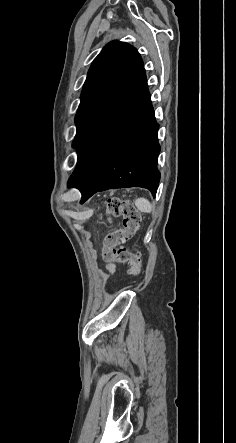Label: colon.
I'll use <instances>...</instances> for the list:
<instances>
[{"instance_id": "obj_1", "label": "colon", "mask_w": 236, "mask_h": 443, "mask_svg": "<svg viewBox=\"0 0 236 443\" xmlns=\"http://www.w3.org/2000/svg\"><path fill=\"white\" fill-rule=\"evenodd\" d=\"M108 218L122 216L123 228L109 233L104 239L103 258L106 262L128 263L130 273L137 275L140 272L141 257L139 253H132L121 244L129 240L137 231L140 223V214L131 200L111 198L107 204Z\"/></svg>"}]
</instances>
